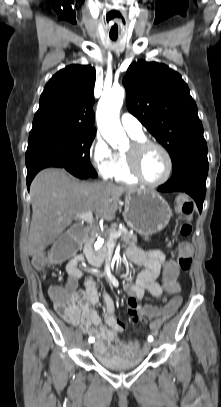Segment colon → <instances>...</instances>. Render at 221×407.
<instances>
[{
  "label": "colon",
  "mask_w": 221,
  "mask_h": 407,
  "mask_svg": "<svg viewBox=\"0 0 221 407\" xmlns=\"http://www.w3.org/2000/svg\"><path fill=\"white\" fill-rule=\"evenodd\" d=\"M176 210L185 219L179 227L182 236H189L192 232L191 220L194 207L186 196H178L176 199ZM88 238L86 222H73L70 230H65L64 234H59L57 246L53 252H47L45 257L40 254L34 255V264L37 272H42L49 261L53 268L59 265L58 261H69L70 255H78L79 249L83 245V239ZM194 244L188 239H183L179 247L178 261L176 258H167L163 267L162 284L164 286H177L181 270L187 271L192 263ZM178 263V265H177ZM50 296L53 299L56 311L62 316L70 312L78 300V296L73 288L53 286L50 289ZM184 302L183 295H172L166 305H142L137 310L138 322H151L153 318H168L171 313H178L179 307Z\"/></svg>",
  "instance_id": "1"
}]
</instances>
